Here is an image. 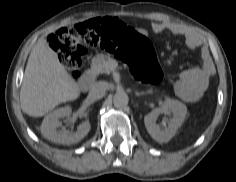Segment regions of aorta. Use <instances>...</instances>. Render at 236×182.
<instances>
[{
    "label": "aorta",
    "instance_id": "aorta-1",
    "mask_svg": "<svg viewBox=\"0 0 236 182\" xmlns=\"http://www.w3.org/2000/svg\"><path fill=\"white\" fill-rule=\"evenodd\" d=\"M129 98L124 92H116L113 97L114 106L117 108H123L128 104Z\"/></svg>",
    "mask_w": 236,
    "mask_h": 182
}]
</instances>
